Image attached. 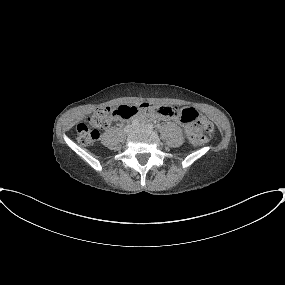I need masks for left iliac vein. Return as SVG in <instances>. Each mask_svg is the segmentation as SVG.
Masks as SVG:
<instances>
[{"label": "left iliac vein", "mask_w": 285, "mask_h": 285, "mask_svg": "<svg viewBox=\"0 0 285 285\" xmlns=\"http://www.w3.org/2000/svg\"><path fill=\"white\" fill-rule=\"evenodd\" d=\"M146 126L144 124H140L138 126H136L134 129H140V128H145Z\"/></svg>", "instance_id": "obj_1"}]
</instances>
